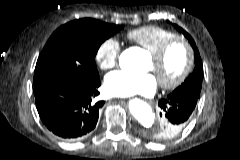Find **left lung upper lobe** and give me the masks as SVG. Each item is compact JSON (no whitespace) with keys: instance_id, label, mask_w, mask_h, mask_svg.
Here are the masks:
<instances>
[{"instance_id":"obj_1","label":"left lung upper lobe","mask_w":240,"mask_h":160,"mask_svg":"<svg viewBox=\"0 0 240 160\" xmlns=\"http://www.w3.org/2000/svg\"><path fill=\"white\" fill-rule=\"evenodd\" d=\"M174 26L177 30H179L184 34V36L188 39L192 48L194 49L195 67L193 72L184 81V83H182L178 88H176L171 94L191 96V97H194L195 99H199L200 91L202 88V79H203V66H202V61H201L199 51L192 37L179 26L177 25H174ZM163 130H164V124H161V126L153 130V133L156 135L161 133Z\"/></svg>"}]
</instances>
